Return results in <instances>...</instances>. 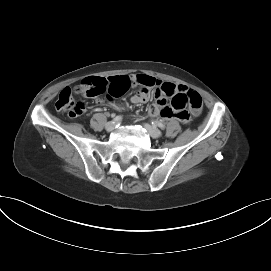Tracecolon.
<instances>
[{
	"mask_svg": "<svg viewBox=\"0 0 271 271\" xmlns=\"http://www.w3.org/2000/svg\"><path fill=\"white\" fill-rule=\"evenodd\" d=\"M98 81L92 82L89 84V87L92 84H97ZM82 88V85H76L73 88L66 87L64 88L56 101V109L61 112L67 113L71 117H76L84 113L85 111V105L82 102L77 101L73 94L74 93H80ZM103 95V94H102ZM172 104L177 109H185L186 106H189L193 113L197 114L200 112L203 100L199 93L196 91H187L184 94H176L172 98ZM184 117H187L184 115Z\"/></svg>",
	"mask_w": 271,
	"mask_h": 271,
	"instance_id": "5ec220e1",
	"label": "colon"
}]
</instances>
